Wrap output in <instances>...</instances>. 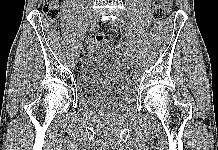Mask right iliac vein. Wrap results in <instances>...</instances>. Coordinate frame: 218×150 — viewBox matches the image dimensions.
<instances>
[{"label": "right iliac vein", "mask_w": 218, "mask_h": 150, "mask_svg": "<svg viewBox=\"0 0 218 150\" xmlns=\"http://www.w3.org/2000/svg\"><path fill=\"white\" fill-rule=\"evenodd\" d=\"M97 22H98V19L96 16L90 17V28L95 29ZM82 43H83V47H88V42L84 40Z\"/></svg>", "instance_id": "63e3f726"}]
</instances>
